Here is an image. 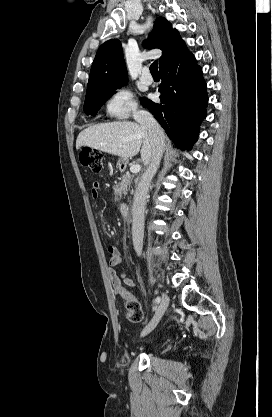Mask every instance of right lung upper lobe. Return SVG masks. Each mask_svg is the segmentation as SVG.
I'll return each mask as SVG.
<instances>
[{
    "label": "right lung upper lobe",
    "mask_w": 272,
    "mask_h": 417,
    "mask_svg": "<svg viewBox=\"0 0 272 417\" xmlns=\"http://www.w3.org/2000/svg\"><path fill=\"white\" fill-rule=\"evenodd\" d=\"M146 48H159L163 54L159 58V67L182 46L184 41L176 29L163 17L156 19L154 28L148 39L143 43ZM127 83V69L125 66L121 43L111 39L103 43L93 61L87 93L102 89L119 88Z\"/></svg>",
    "instance_id": "right-lung-upper-lobe-1"
}]
</instances>
